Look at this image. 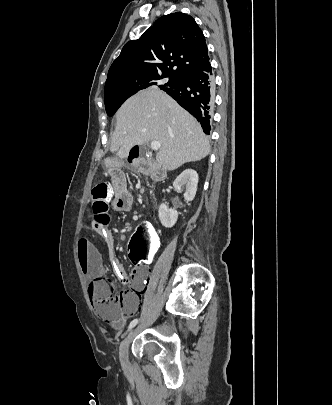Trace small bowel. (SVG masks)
<instances>
[{"label":"small bowel","mask_w":332,"mask_h":405,"mask_svg":"<svg viewBox=\"0 0 332 405\" xmlns=\"http://www.w3.org/2000/svg\"><path fill=\"white\" fill-rule=\"evenodd\" d=\"M109 174L110 177H114L113 185L115 186V196L110 199L111 209L117 215H124L127 211H130L133 204V196L128 190L125 180L126 173L123 168H110ZM97 231L109 247H114L115 240L110 231L105 229H97ZM77 253L81 270L88 279L94 280L103 273L104 266L101 254L91 241L80 238L77 244ZM116 271L119 279L129 285V292L132 294L131 300L126 305L125 313L119 317L108 319L115 327L120 328L125 324L128 316L137 312L140 301L136 293L146 291L149 279L145 267H135L133 272L128 275L124 267L117 263Z\"/></svg>","instance_id":"obj_1"}]
</instances>
